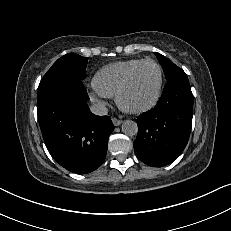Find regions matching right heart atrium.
<instances>
[{
    "label": "right heart atrium",
    "instance_id": "d8ad5b80",
    "mask_svg": "<svg viewBox=\"0 0 231 231\" xmlns=\"http://www.w3.org/2000/svg\"><path fill=\"white\" fill-rule=\"evenodd\" d=\"M90 96L94 102L99 105H105V99L107 98L105 95L100 93L95 87L90 92Z\"/></svg>",
    "mask_w": 231,
    "mask_h": 231
}]
</instances>
